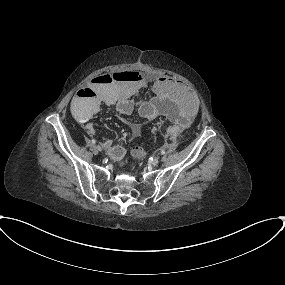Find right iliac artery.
Returning <instances> with one entry per match:
<instances>
[{"label": "right iliac artery", "instance_id": "1", "mask_svg": "<svg viewBox=\"0 0 285 285\" xmlns=\"http://www.w3.org/2000/svg\"><path fill=\"white\" fill-rule=\"evenodd\" d=\"M91 142H92V144H96V140L95 139H92Z\"/></svg>", "mask_w": 285, "mask_h": 285}]
</instances>
